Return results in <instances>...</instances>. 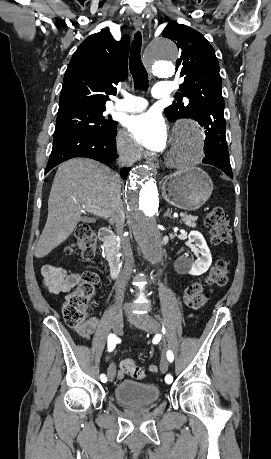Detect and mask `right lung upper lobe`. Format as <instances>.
Returning a JSON list of instances; mask_svg holds the SVG:
<instances>
[{
	"mask_svg": "<svg viewBox=\"0 0 271 459\" xmlns=\"http://www.w3.org/2000/svg\"><path fill=\"white\" fill-rule=\"evenodd\" d=\"M129 39L117 42L108 30L85 39L68 65L60 93L59 110L104 107L115 84L127 78Z\"/></svg>",
	"mask_w": 271,
	"mask_h": 459,
	"instance_id": "obj_1",
	"label": "right lung upper lobe"
}]
</instances>
